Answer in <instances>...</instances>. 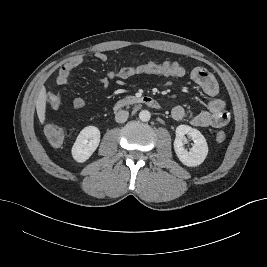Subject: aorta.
I'll list each match as a JSON object with an SVG mask.
<instances>
[{
	"instance_id": "1",
	"label": "aorta",
	"mask_w": 267,
	"mask_h": 267,
	"mask_svg": "<svg viewBox=\"0 0 267 267\" xmlns=\"http://www.w3.org/2000/svg\"><path fill=\"white\" fill-rule=\"evenodd\" d=\"M151 118V113L148 110H142L139 113V119L143 122L149 121Z\"/></svg>"
}]
</instances>
